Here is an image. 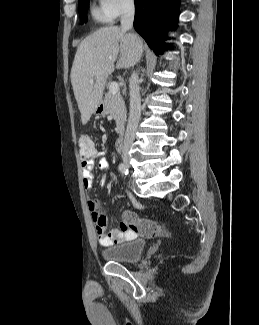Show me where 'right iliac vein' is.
<instances>
[{
    "instance_id": "1",
    "label": "right iliac vein",
    "mask_w": 259,
    "mask_h": 325,
    "mask_svg": "<svg viewBox=\"0 0 259 325\" xmlns=\"http://www.w3.org/2000/svg\"><path fill=\"white\" fill-rule=\"evenodd\" d=\"M123 161L125 164L129 165L130 163V156L128 154L123 155Z\"/></svg>"
}]
</instances>
